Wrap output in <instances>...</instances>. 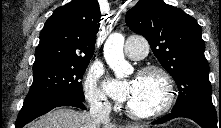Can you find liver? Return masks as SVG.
Returning a JSON list of instances; mask_svg holds the SVG:
<instances>
[{
	"mask_svg": "<svg viewBox=\"0 0 221 128\" xmlns=\"http://www.w3.org/2000/svg\"><path fill=\"white\" fill-rule=\"evenodd\" d=\"M27 128H116V125L109 121L95 122L86 112L58 108L31 123ZM127 128H148V126L129 125Z\"/></svg>",
	"mask_w": 221,
	"mask_h": 128,
	"instance_id": "6515ba94",
	"label": "liver"
}]
</instances>
